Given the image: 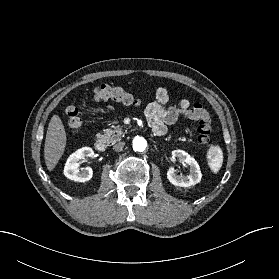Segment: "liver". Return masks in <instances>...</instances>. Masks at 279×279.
Instances as JSON below:
<instances>
[{
  "mask_svg": "<svg viewBox=\"0 0 279 279\" xmlns=\"http://www.w3.org/2000/svg\"><path fill=\"white\" fill-rule=\"evenodd\" d=\"M66 147V132L57 115H53L46 133L44 158L47 169L52 171L62 157Z\"/></svg>",
  "mask_w": 279,
  "mask_h": 279,
  "instance_id": "1",
  "label": "liver"
}]
</instances>
